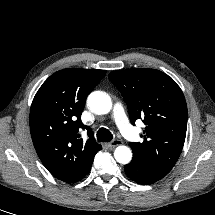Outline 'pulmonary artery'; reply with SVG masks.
<instances>
[{
  "mask_svg": "<svg viewBox=\"0 0 215 215\" xmlns=\"http://www.w3.org/2000/svg\"><path fill=\"white\" fill-rule=\"evenodd\" d=\"M112 117L121 133L130 140L137 139V133L130 125L129 120L121 104L116 103L112 110Z\"/></svg>",
  "mask_w": 215,
  "mask_h": 215,
  "instance_id": "pulmonary-artery-1",
  "label": "pulmonary artery"
}]
</instances>
